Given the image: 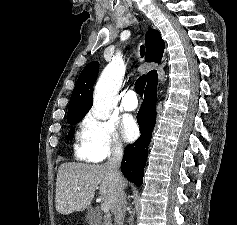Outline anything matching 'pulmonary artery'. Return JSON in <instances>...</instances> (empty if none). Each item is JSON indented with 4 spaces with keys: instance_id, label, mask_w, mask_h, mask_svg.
I'll return each mask as SVG.
<instances>
[{
    "instance_id": "e3ab8cb5",
    "label": "pulmonary artery",
    "mask_w": 237,
    "mask_h": 225,
    "mask_svg": "<svg viewBox=\"0 0 237 225\" xmlns=\"http://www.w3.org/2000/svg\"><path fill=\"white\" fill-rule=\"evenodd\" d=\"M122 107L126 111H134L138 107V100L134 91L129 90L124 94Z\"/></svg>"
}]
</instances>
